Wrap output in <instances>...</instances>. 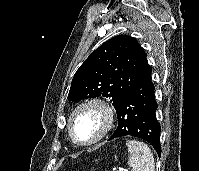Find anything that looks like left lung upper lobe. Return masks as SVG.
<instances>
[{
	"instance_id": "obj_1",
	"label": "left lung upper lobe",
	"mask_w": 199,
	"mask_h": 171,
	"mask_svg": "<svg viewBox=\"0 0 199 171\" xmlns=\"http://www.w3.org/2000/svg\"><path fill=\"white\" fill-rule=\"evenodd\" d=\"M151 69L137 40L118 35L98 47L75 73L68 99L110 97L115 109Z\"/></svg>"
}]
</instances>
